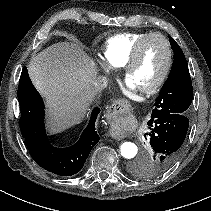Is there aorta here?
Masks as SVG:
<instances>
[{"instance_id":"obj_1","label":"aorta","mask_w":211,"mask_h":211,"mask_svg":"<svg viewBox=\"0 0 211 211\" xmlns=\"http://www.w3.org/2000/svg\"><path fill=\"white\" fill-rule=\"evenodd\" d=\"M138 148L132 142H124L120 145V153L126 159H132L137 155Z\"/></svg>"}]
</instances>
